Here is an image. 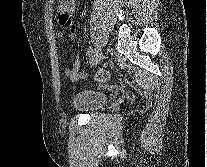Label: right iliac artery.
<instances>
[{"label":"right iliac artery","instance_id":"82829eb1","mask_svg":"<svg viewBox=\"0 0 207 167\" xmlns=\"http://www.w3.org/2000/svg\"><path fill=\"white\" fill-rule=\"evenodd\" d=\"M93 53H94L93 47L90 46V47L87 49V55L91 56Z\"/></svg>","mask_w":207,"mask_h":167}]
</instances>
